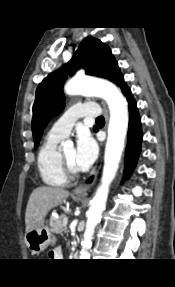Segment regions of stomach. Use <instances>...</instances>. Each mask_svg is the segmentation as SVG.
<instances>
[{
  "label": "stomach",
  "instance_id": "1",
  "mask_svg": "<svg viewBox=\"0 0 175 287\" xmlns=\"http://www.w3.org/2000/svg\"><path fill=\"white\" fill-rule=\"evenodd\" d=\"M24 241L31 252L40 253L49 244L55 243V237L49 227L44 222H40L25 233Z\"/></svg>",
  "mask_w": 175,
  "mask_h": 287
}]
</instances>
